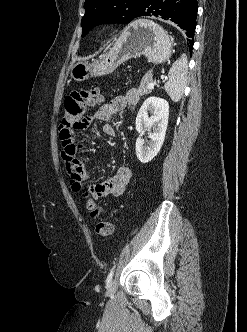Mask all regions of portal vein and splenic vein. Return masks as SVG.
I'll return each instance as SVG.
<instances>
[{
    "label": "portal vein and splenic vein",
    "mask_w": 247,
    "mask_h": 332,
    "mask_svg": "<svg viewBox=\"0 0 247 332\" xmlns=\"http://www.w3.org/2000/svg\"><path fill=\"white\" fill-rule=\"evenodd\" d=\"M154 88V82H150L148 85V89H153Z\"/></svg>",
    "instance_id": "portal-vein-and-splenic-vein-1"
}]
</instances>
